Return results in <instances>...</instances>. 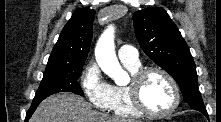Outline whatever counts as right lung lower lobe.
<instances>
[{
    "label": "right lung lower lobe",
    "instance_id": "obj_1",
    "mask_svg": "<svg viewBox=\"0 0 221 122\" xmlns=\"http://www.w3.org/2000/svg\"><path fill=\"white\" fill-rule=\"evenodd\" d=\"M40 102H32L31 107L29 108L27 114H26V118L25 121H28L29 118L32 116V114L34 113V111L36 110L37 106L39 105Z\"/></svg>",
    "mask_w": 221,
    "mask_h": 122
}]
</instances>
